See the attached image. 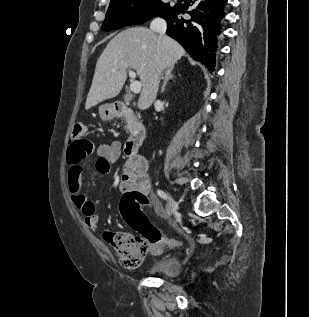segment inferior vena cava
Instances as JSON below:
<instances>
[{
    "label": "inferior vena cava",
    "mask_w": 309,
    "mask_h": 317,
    "mask_svg": "<svg viewBox=\"0 0 309 317\" xmlns=\"http://www.w3.org/2000/svg\"><path fill=\"white\" fill-rule=\"evenodd\" d=\"M150 28L152 31L157 32L159 34V38H162L166 32L167 23L165 20L161 18H156L151 22Z\"/></svg>",
    "instance_id": "602c4592"
}]
</instances>
